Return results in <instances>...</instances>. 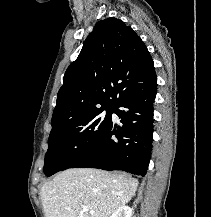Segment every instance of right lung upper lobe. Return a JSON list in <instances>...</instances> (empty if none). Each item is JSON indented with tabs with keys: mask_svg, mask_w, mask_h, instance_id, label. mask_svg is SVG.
<instances>
[{
	"mask_svg": "<svg viewBox=\"0 0 211 217\" xmlns=\"http://www.w3.org/2000/svg\"><path fill=\"white\" fill-rule=\"evenodd\" d=\"M155 73L141 38L122 20L99 21L70 64L57 95L52 128L99 109H113Z\"/></svg>",
	"mask_w": 211,
	"mask_h": 217,
	"instance_id": "cb5924a9",
	"label": "right lung upper lobe"
}]
</instances>
